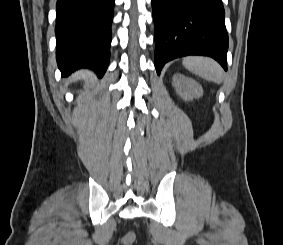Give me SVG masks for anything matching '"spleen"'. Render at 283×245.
<instances>
[{
  "label": "spleen",
  "instance_id": "spleen-1",
  "mask_svg": "<svg viewBox=\"0 0 283 245\" xmlns=\"http://www.w3.org/2000/svg\"><path fill=\"white\" fill-rule=\"evenodd\" d=\"M182 63L186 69L199 77L218 84L223 82V70L211 58L198 56L185 57Z\"/></svg>",
  "mask_w": 283,
  "mask_h": 245
}]
</instances>
